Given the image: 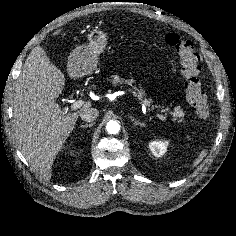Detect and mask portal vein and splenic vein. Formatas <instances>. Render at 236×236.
<instances>
[{
	"label": "portal vein and splenic vein",
	"instance_id": "obj_1",
	"mask_svg": "<svg viewBox=\"0 0 236 236\" xmlns=\"http://www.w3.org/2000/svg\"><path fill=\"white\" fill-rule=\"evenodd\" d=\"M85 101L84 100H77V101H74L71 105V110H77L79 109L80 107H82L84 105ZM156 117H158L160 120L162 121H166V117L162 114H159V113H156Z\"/></svg>",
	"mask_w": 236,
	"mask_h": 236
}]
</instances>
